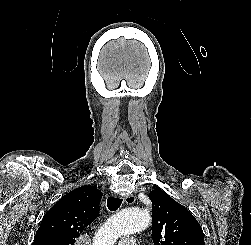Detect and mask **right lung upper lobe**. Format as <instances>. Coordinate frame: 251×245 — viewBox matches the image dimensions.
I'll list each match as a JSON object with an SVG mask.
<instances>
[{"instance_id":"cb5924a9","label":"right lung upper lobe","mask_w":251,"mask_h":245,"mask_svg":"<svg viewBox=\"0 0 251 245\" xmlns=\"http://www.w3.org/2000/svg\"><path fill=\"white\" fill-rule=\"evenodd\" d=\"M101 198L97 188L87 185L67 193L44 215L33 245H74L98 216Z\"/></svg>"}]
</instances>
